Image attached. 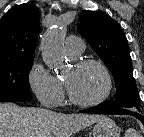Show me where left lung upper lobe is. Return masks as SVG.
Here are the masks:
<instances>
[{
    "mask_svg": "<svg viewBox=\"0 0 144 137\" xmlns=\"http://www.w3.org/2000/svg\"><path fill=\"white\" fill-rule=\"evenodd\" d=\"M78 31L108 66L116 84L115 101L110 108L139 109V96L132 74L130 48L120 25L103 12L83 11Z\"/></svg>",
    "mask_w": 144,
    "mask_h": 137,
    "instance_id": "1",
    "label": "left lung upper lobe"
}]
</instances>
